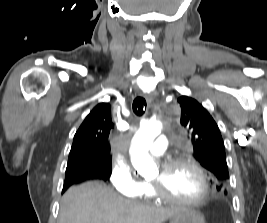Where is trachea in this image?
<instances>
[{
  "mask_svg": "<svg viewBox=\"0 0 267 223\" xmlns=\"http://www.w3.org/2000/svg\"><path fill=\"white\" fill-rule=\"evenodd\" d=\"M133 111L136 115L140 116L144 113L143 109L146 110V100L143 97H136L133 101Z\"/></svg>",
  "mask_w": 267,
  "mask_h": 223,
  "instance_id": "obj_1",
  "label": "trachea"
}]
</instances>
